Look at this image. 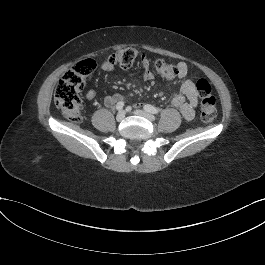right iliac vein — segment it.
I'll return each mask as SVG.
<instances>
[{
	"instance_id": "obj_1",
	"label": "right iliac vein",
	"mask_w": 265,
	"mask_h": 265,
	"mask_svg": "<svg viewBox=\"0 0 265 265\" xmlns=\"http://www.w3.org/2000/svg\"><path fill=\"white\" fill-rule=\"evenodd\" d=\"M125 118V112L124 111H119L116 115V120L118 122H121Z\"/></svg>"
}]
</instances>
